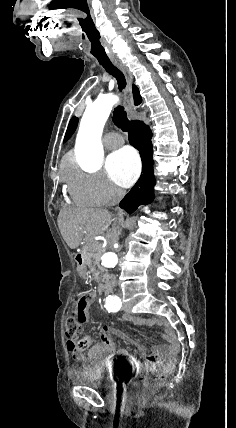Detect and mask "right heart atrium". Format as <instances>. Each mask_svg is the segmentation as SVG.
Segmentation results:
<instances>
[{"instance_id":"right-heart-atrium-1","label":"right heart atrium","mask_w":236,"mask_h":428,"mask_svg":"<svg viewBox=\"0 0 236 428\" xmlns=\"http://www.w3.org/2000/svg\"><path fill=\"white\" fill-rule=\"evenodd\" d=\"M67 184L71 198L79 206H109L124 194L102 172L88 173L74 168Z\"/></svg>"}]
</instances>
